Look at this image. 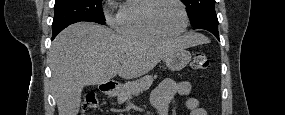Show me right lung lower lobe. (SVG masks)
<instances>
[{
    "instance_id": "right-lung-lower-lobe-1",
    "label": "right lung lower lobe",
    "mask_w": 285,
    "mask_h": 115,
    "mask_svg": "<svg viewBox=\"0 0 285 115\" xmlns=\"http://www.w3.org/2000/svg\"><path fill=\"white\" fill-rule=\"evenodd\" d=\"M67 26H63L61 28L55 29L53 30V34H52V40L58 35L59 32H61L64 28H66Z\"/></svg>"
}]
</instances>
